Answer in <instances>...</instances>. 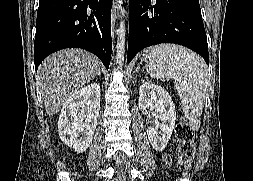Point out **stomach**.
Masks as SVG:
<instances>
[{"mask_svg":"<svg viewBox=\"0 0 253 181\" xmlns=\"http://www.w3.org/2000/svg\"><path fill=\"white\" fill-rule=\"evenodd\" d=\"M146 55H147V50H146V51H144V53H143V56H144V60H147V57H146Z\"/></svg>","mask_w":253,"mask_h":181,"instance_id":"1","label":"stomach"}]
</instances>
